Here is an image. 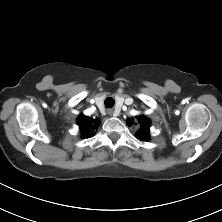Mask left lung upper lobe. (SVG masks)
Masks as SVG:
<instances>
[{
  "instance_id": "5c2ea615",
  "label": "left lung upper lobe",
  "mask_w": 222,
  "mask_h": 222,
  "mask_svg": "<svg viewBox=\"0 0 222 222\" xmlns=\"http://www.w3.org/2000/svg\"><path fill=\"white\" fill-rule=\"evenodd\" d=\"M137 120L141 124V128L136 132V137L139 140L146 141L149 139V128H150V120L147 119L144 115H140L137 117ZM129 125H131L130 119Z\"/></svg>"
}]
</instances>
